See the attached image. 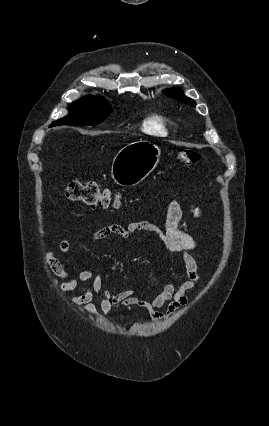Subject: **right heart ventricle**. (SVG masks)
I'll return each instance as SVG.
<instances>
[{"instance_id": "obj_1", "label": "right heart ventricle", "mask_w": 269, "mask_h": 426, "mask_svg": "<svg viewBox=\"0 0 269 426\" xmlns=\"http://www.w3.org/2000/svg\"><path fill=\"white\" fill-rule=\"evenodd\" d=\"M166 121L160 116H152L144 122V130L153 135L166 134Z\"/></svg>"}]
</instances>
